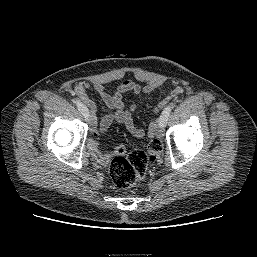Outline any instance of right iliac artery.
Listing matches in <instances>:
<instances>
[{"mask_svg":"<svg viewBox=\"0 0 257 257\" xmlns=\"http://www.w3.org/2000/svg\"><path fill=\"white\" fill-rule=\"evenodd\" d=\"M76 106L78 108V110L84 115L87 116L88 115V108L80 101V100H76Z\"/></svg>","mask_w":257,"mask_h":257,"instance_id":"82829eb1","label":"right iliac artery"}]
</instances>
